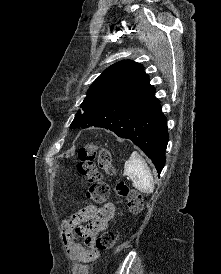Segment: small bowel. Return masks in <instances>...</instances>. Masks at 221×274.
Listing matches in <instances>:
<instances>
[{
  "label": "small bowel",
  "instance_id": "obj_1",
  "mask_svg": "<svg viewBox=\"0 0 221 274\" xmlns=\"http://www.w3.org/2000/svg\"><path fill=\"white\" fill-rule=\"evenodd\" d=\"M115 213L112 202L102 207L88 205L63 222V239L68 255L80 263H89L99 257L97 234L106 229ZM83 239L84 245L81 243Z\"/></svg>",
  "mask_w": 221,
  "mask_h": 274
}]
</instances>
